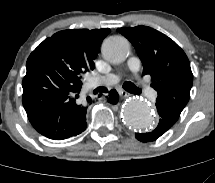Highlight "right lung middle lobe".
<instances>
[{"instance_id":"right-lung-middle-lobe-1","label":"right lung middle lobe","mask_w":215,"mask_h":183,"mask_svg":"<svg viewBox=\"0 0 215 183\" xmlns=\"http://www.w3.org/2000/svg\"><path fill=\"white\" fill-rule=\"evenodd\" d=\"M65 71L69 75V77L77 82H82L81 78L84 73L89 71L90 69L86 67L84 62L72 55H66L65 57Z\"/></svg>"}]
</instances>
